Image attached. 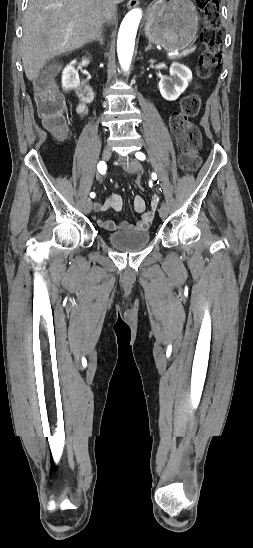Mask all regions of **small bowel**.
<instances>
[{
	"mask_svg": "<svg viewBox=\"0 0 253 548\" xmlns=\"http://www.w3.org/2000/svg\"><path fill=\"white\" fill-rule=\"evenodd\" d=\"M78 113L81 116H84L87 113V107L84 101L79 104ZM157 202L158 198L156 196L152 197L150 209L147 210L145 201L141 196L137 195L133 198L134 209L141 214V217L136 224H131L127 221L115 223L113 221L103 220L101 218H96V223L98 226L110 231H145L154 217ZM123 205L124 203L122 197L117 193H112L105 202L96 203L94 208L97 212L105 211L107 209L121 211L123 209Z\"/></svg>",
	"mask_w": 253,
	"mask_h": 548,
	"instance_id": "1",
	"label": "small bowel"
}]
</instances>
